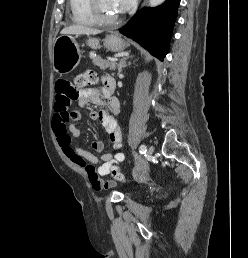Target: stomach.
Wrapping results in <instances>:
<instances>
[{"label":"stomach","instance_id":"0dacf381","mask_svg":"<svg viewBox=\"0 0 248 258\" xmlns=\"http://www.w3.org/2000/svg\"><path fill=\"white\" fill-rule=\"evenodd\" d=\"M88 45L92 49L99 48V40L90 38ZM104 46L113 52H120L128 47L119 35L111 33L104 39ZM81 59L80 46L76 39L70 35L59 36L53 45V67L59 74H67L73 71Z\"/></svg>","mask_w":248,"mask_h":258}]
</instances>
